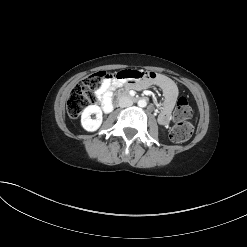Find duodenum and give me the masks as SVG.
Returning <instances> with one entry per match:
<instances>
[{"mask_svg":"<svg viewBox=\"0 0 247 247\" xmlns=\"http://www.w3.org/2000/svg\"><path fill=\"white\" fill-rule=\"evenodd\" d=\"M120 97H127V99H130L133 101H137V100H141V99L149 101V98H146L144 96L130 97L129 92L126 89H122V90L116 91V94H114V96H113V105L114 106L118 105Z\"/></svg>","mask_w":247,"mask_h":247,"instance_id":"1","label":"duodenum"}]
</instances>
